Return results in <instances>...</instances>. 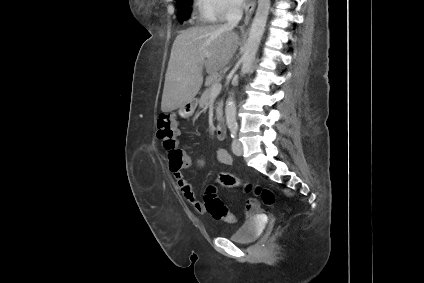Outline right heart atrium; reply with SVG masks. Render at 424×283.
Returning <instances> with one entry per match:
<instances>
[{
  "label": "right heart atrium",
  "instance_id": "d8ad5b80",
  "mask_svg": "<svg viewBox=\"0 0 424 283\" xmlns=\"http://www.w3.org/2000/svg\"><path fill=\"white\" fill-rule=\"evenodd\" d=\"M200 16L206 20H221L235 12L241 6L240 0H195Z\"/></svg>",
  "mask_w": 424,
  "mask_h": 283
}]
</instances>
